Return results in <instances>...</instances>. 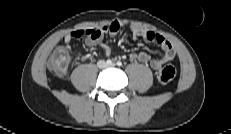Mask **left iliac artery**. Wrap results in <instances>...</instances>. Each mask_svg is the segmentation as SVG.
Listing matches in <instances>:
<instances>
[{
	"mask_svg": "<svg viewBox=\"0 0 231 134\" xmlns=\"http://www.w3.org/2000/svg\"><path fill=\"white\" fill-rule=\"evenodd\" d=\"M118 66H122V62L121 61H117L116 63Z\"/></svg>",
	"mask_w": 231,
	"mask_h": 134,
	"instance_id": "obj_1",
	"label": "left iliac artery"
}]
</instances>
